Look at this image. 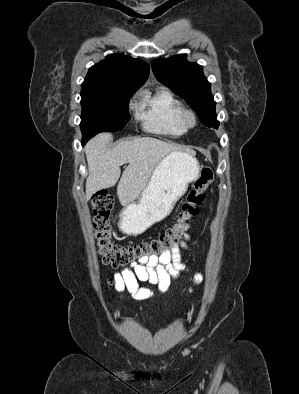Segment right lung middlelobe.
<instances>
[{"label": "right lung middle lobe", "mask_w": 299, "mask_h": 394, "mask_svg": "<svg viewBox=\"0 0 299 394\" xmlns=\"http://www.w3.org/2000/svg\"><path fill=\"white\" fill-rule=\"evenodd\" d=\"M135 90L81 91L83 141L103 131H118L130 119L129 99Z\"/></svg>", "instance_id": "right-lung-middle-lobe-1"}]
</instances>
